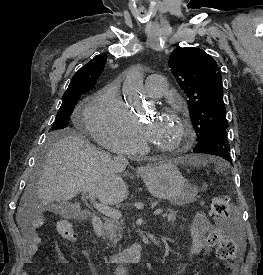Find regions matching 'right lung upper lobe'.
<instances>
[{"instance_id": "right-lung-upper-lobe-1", "label": "right lung upper lobe", "mask_w": 263, "mask_h": 275, "mask_svg": "<svg viewBox=\"0 0 263 275\" xmlns=\"http://www.w3.org/2000/svg\"><path fill=\"white\" fill-rule=\"evenodd\" d=\"M107 60L106 54H101L94 57L80 70H78L68 86L66 93L82 89H92L99 76L101 75Z\"/></svg>"}]
</instances>
